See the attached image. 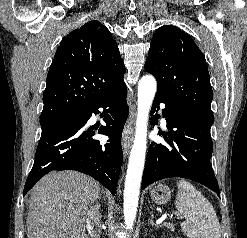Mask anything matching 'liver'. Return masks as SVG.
Instances as JSON below:
<instances>
[{
	"label": "liver",
	"instance_id": "liver-1",
	"mask_svg": "<svg viewBox=\"0 0 247 238\" xmlns=\"http://www.w3.org/2000/svg\"><path fill=\"white\" fill-rule=\"evenodd\" d=\"M100 186L76 171L51 172L33 188L27 238H84L88 209Z\"/></svg>",
	"mask_w": 247,
	"mask_h": 238
}]
</instances>
